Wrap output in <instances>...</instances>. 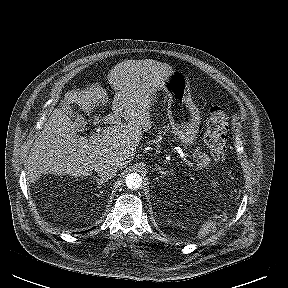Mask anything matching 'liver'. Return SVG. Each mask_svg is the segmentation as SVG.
<instances>
[{
	"instance_id": "liver-1",
	"label": "liver",
	"mask_w": 288,
	"mask_h": 288,
	"mask_svg": "<svg viewBox=\"0 0 288 288\" xmlns=\"http://www.w3.org/2000/svg\"><path fill=\"white\" fill-rule=\"evenodd\" d=\"M172 72L168 64L151 59L125 60L117 64L108 74L109 84L116 91L113 113L94 119V125L102 121L114 126L103 130L97 141L77 135L66 111L55 109L30 150L29 182L46 173L89 176L97 162L105 159L113 160L119 169L125 168L133 160L143 133L152 126V95L161 90ZM64 100L69 108L70 104H76L84 112L91 113L95 106H104L108 96L99 84H92L81 91L67 92Z\"/></svg>"
}]
</instances>
